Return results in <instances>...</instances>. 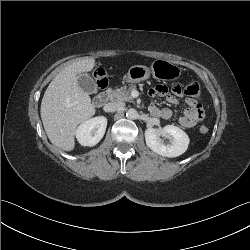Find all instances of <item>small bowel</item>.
<instances>
[{"label": "small bowel", "instance_id": "c3829d8e", "mask_svg": "<svg viewBox=\"0 0 250 250\" xmlns=\"http://www.w3.org/2000/svg\"><path fill=\"white\" fill-rule=\"evenodd\" d=\"M184 92L183 87L180 84H175L171 88V94L168 93V89L164 85H157L149 90V95L152 97H166L167 101L172 105H177V97L181 96ZM187 108L179 118V123L186 128H192L201 122L204 118V111L196 100L187 98L185 100ZM150 111L152 115L168 120L172 117L173 113L168 108H158L156 105H151Z\"/></svg>", "mask_w": 250, "mask_h": 250}]
</instances>
